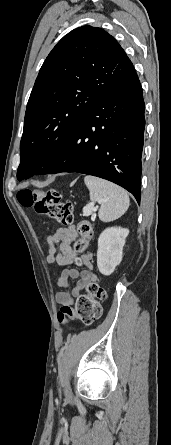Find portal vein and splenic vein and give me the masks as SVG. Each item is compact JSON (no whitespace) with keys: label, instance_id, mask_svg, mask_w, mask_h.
<instances>
[{"label":"portal vein and splenic vein","instance_id":"portal-vein-and-splenic-vein-1","mask_svg":"<svg viewBox=\"0 0 171 445\" xmlns=\"http://www.w3.org/2000/svg\"><path fill=\"white\" fill-rule=\"evenodd\" d=\"M96 208L94 207V205H89L83 208V214L84 215H89L91 214L93 211H95Z\"/></svg>","mask_w":171,"mask_h":445}]
</instances>
